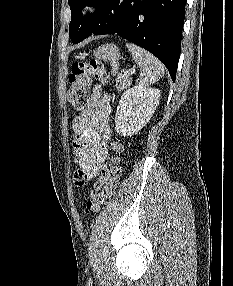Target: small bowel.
<instances>
[{"label": "small bowel", "mask_w": 233, "mask_h": 286, "mask_svg": "<svg viewBox=\"0 0 233 286\" xmlns=\"http://www.w3.org/2000/svg\"><path fill=\"white\" fill-rule=\"evenodd\" d=\"M110 113L109 97L103 94L100 85H94L86 108L73 120L77 185L95 178L107 159Z\"/></svg>", "instance_id": "small-bowel-1"}]
</instances>
